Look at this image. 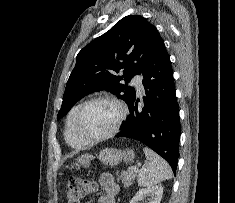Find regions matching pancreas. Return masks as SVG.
I'll return each instance as SVG.
<instances>
[{
    "instance_id": "1",
    "label": "pancreas",
    "mask_w": 235,
    "mask_h": 203,
    "mask_svg": "<svg viewBox=\"0 0 235 203\" xmlns=\"http://www.w3.org/2000/svg\"><path fill=\"white\" fill-rule=\"evenodd\" d=\"M119 178L122 179L125 186H130L136 178V171L133 170V167L128 168L120 172Z\"/></svg>"
}]
</instances>
